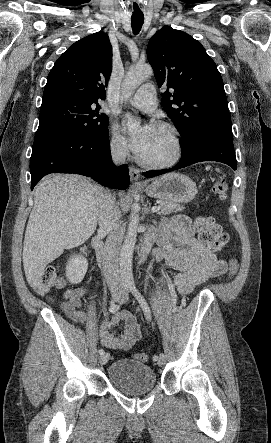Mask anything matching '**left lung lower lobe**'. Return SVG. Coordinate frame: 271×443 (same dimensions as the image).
<instances>
[{"mask_svg":"<svg viewBox=\"0 0 271 443\" xmlns=\"http://www.w3.org/2000/svg\"><path fill=\"white\" fill-rule=\"evenodd\" d=\"M182 157L171 169L145 172V177L152 178L170 171L184 168L201 161H218L237 168L231 127L206 125L190 136L188 143L180 144Z\"/></svg>","mask_w":271,"mask_h":443,"instance_id":"0a47b994","label":"left lung lower lobe"}]
</instances>
